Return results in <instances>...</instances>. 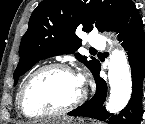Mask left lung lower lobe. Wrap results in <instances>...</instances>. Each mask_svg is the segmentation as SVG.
<instances>
[{
    "instance_id": "left-lung-lower-lobe-1",
    "label": "left lung lower lobe",
    "mask_w": 145,
    "mask_h": 124,
    "mask_svg": "<svg viewBox=\"0 0 145 124\" xmlns=\"http://www.w3.org/2000/svg\"><path fill=\"white\" fill-rule=\"evenodd\" d=\"M118 39L127 51L132 74V95L127 106L118 114L113 115L103 106L106 95V82L99 76V64L94 75L97 83L96 94L82 106L68 113L70 116L95 118L109 124H140L142 118V87L145 76V34L142 18L135 5L126 13L118 25Z\"/></svg>"
}]
</instances>
